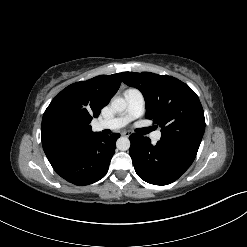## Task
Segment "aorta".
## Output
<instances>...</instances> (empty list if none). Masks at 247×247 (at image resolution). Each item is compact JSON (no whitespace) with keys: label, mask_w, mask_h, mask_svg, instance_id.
<instances>
[{"label":"aorta","mask_w":247,"mask_h":247,"mask_svg":"<svg viewBox=\"0 0 247 247\" xmlns=\"http://www.w3.org/2000/svg\"><path fill=\"white\" fill-rule=\"evenodd\" d=\"M111 107L117 111L122 112L127 107V102L124 98L115 97L111 101ZM116 146L121 151H126L130 148V140L127 137H120L116 142Z\"/></svg>","instance_id":"762f6f07"}]
</instances>
